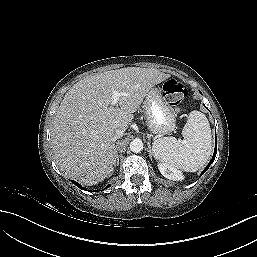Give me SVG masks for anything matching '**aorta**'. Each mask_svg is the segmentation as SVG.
Returning a JSON list of instances; mask_svg holds the SVG:
<instances>
[{"mask_svg":"<svg viewBox=\"0 0 257 257\" xmlns=\"http://www.w3.org/2000/svg\"><path fill=\"white\" fill-rule=\"evenodd\" d=\"M130 150L134 153H139L143 150V142L141 139H134L130 142Z\"/></svg>","mask_w":257,"mask_h":257,"instance_id":"762f6f07","label":"aorta"}]
</instances>
